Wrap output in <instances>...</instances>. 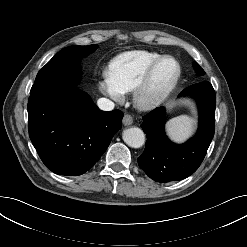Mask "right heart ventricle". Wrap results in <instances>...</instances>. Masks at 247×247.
I'll return each instance as SVG.
<instances>
[{
    "label": "right heart ventricle",
    "instance_id": "right-heart-ventricle-1",
    "mask_svg": "<svg viewBox=\"0 0 247 247\" xmlns=\"http://www.w3.org/2000/svg\"><path fill=\"white\" fill-rule=\"evenodd\" d=\"M159 57L160 54L146 50L125 52L112 61L109 75L123 93L131 92Z\"/></svg>",
    "mask_w": 247,
    "mask_h": 247
}]
</instances>
